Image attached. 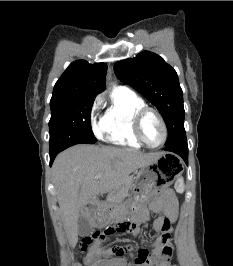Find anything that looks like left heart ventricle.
I'll list each match as a JSON object with an SVG mask.
<instances>
[{
	"mask_svg": "<svg viewBox=\"0 0 233 266\" xmlns=\"http://www.w3.org/2000/svg\"><path fill=\"white\" fill-rule=\"evenodd\" d=\"M142 133L145 140L151 145H157L163 138V129L158 118L149 113L145 116L142 123Z\"/></svg>",
	"mask_w": 233,
	"mask_h": 266,
	"instance_id": "left-heart-ventricle-1",
	"label": "left heart ventricle"
}]
</instances>
